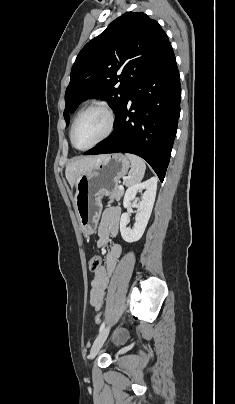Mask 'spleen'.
<instances>
[{
    "label": "spleen",
    "mask_w": 235,
    "mask_h": 404,
    "mask_svg": "<svg viewBox=\"0 0 235 404\" xmlns=\"http://www.w3.org/2000/svg\"><path fill=\"white\" fill-rule=\"evenodd\" d=\"M126 157L131 162V169L127 177L126 185L132 186L139 183L145 174L146 165L142 158L134 154H126Z\"/></svg>",
    "instance_id": "spleen-1"
}]
</instances>
